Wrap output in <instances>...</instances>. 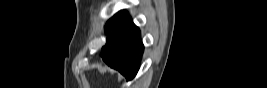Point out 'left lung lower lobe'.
<instances>
[{
    "label": "left lung lower lobe",
    "mask_w": 267,
    "mask_h": 88,
    "mask_svg": "<svg viewBox=\"0 0 267 88\" xmlns=\"http://www.w3.org/2000/svg\"><path fill=\"white\" fill-rule=\"evenodd\" d=\"M142 52L139 29L126 15L108 33L106 44L101 50V57L110 67L117 69L130 80L139 69Z\"/></svg>",
    "instance_id": "left-lung-lower-lobe-1"
}]
</instances>
